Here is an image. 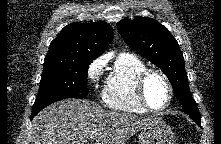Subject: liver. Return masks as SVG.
Returning a JSON list of instances; mask_svg holds the SVG:
<instances>
[{
	"label": "liver",
	"mask_w": 221,
	"mask_h": 144,
	"mask_svg": "<svg viewBox=\"0 0 221 144\" xmlns=\"http://www.w3.org/2000/svg\"><path fill=\"white\" fill-rule=\"evenodd\" d=\"M156 118L107 111L87 99H65L46 107L32 120V144H125Z\"/></svg>",
	"instance_id": "6515ba94"
}]
</instances>
